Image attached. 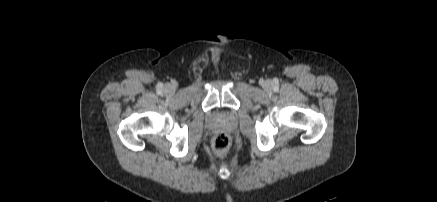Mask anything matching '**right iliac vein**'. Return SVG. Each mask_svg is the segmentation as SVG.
<instances>
[{
    "instance_id": "right-iliac-vein-1",
    "label": "right iliac vein",
    "mask_w": 437,
    "mask_h": 202,
    "mask_svg": "<svg viewBox=\"0 0 437 202\" xmlns=\"http://www.w3.org/2000/svg\"><path fill=\"white\" fill-rule=\"evenodd\" d=\"M175 88L173 86H167L165 88L166 93L172 94L174 92Z\"/></svg>"
}]
</instances>
